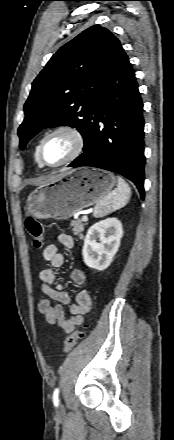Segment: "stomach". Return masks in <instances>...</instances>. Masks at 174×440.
I'll return each mask as SVG.
<instances>
[{"instance_id": "obj_1", "label": "stomach", "mask_w": 174, "mask_h": 440, "mask_svg": "<svg viewBox=\"0 0 174 440\" xmlns=\"http://www.w3.org/2000/svg\"><path fill=\"white\" fill-rule=\"evenodd\" d=\"M116 177L104 170L80 167L56 176L32 191L26 213L35 218L65 220L110 193Z\"/></svg>"}]
</instances>
